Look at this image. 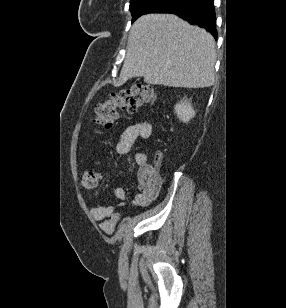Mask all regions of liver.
<instances>
[{
	"label": "liver",
	"instance_id": "6515ba94",
	"mask_svg": "<svg viewBox=\"0 0 286 308\" xmlns=\"http://www.w3.org/2000/svg\"><path fill=\"white\" fill-rule=\"evenodd\" d=\"M211 34L170 14H147L132 25L117 85L143 77L169 87L204 88L214 83Z\"/></svg>",
	"mask_w": 286,
	"mask_h": 308
}]
</instances>
